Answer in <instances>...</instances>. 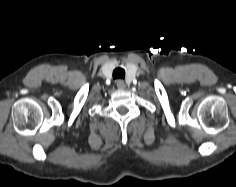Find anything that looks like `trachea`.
Here are the masks:
<instances>
[{"instance_id": "obj_1", "label": "trachea", "mask_w": 236, "mask_h": 187, "mask_svg": "<svg viewBox=\"0 0 236 187\" xmlns=\"http://www.w3.org/2000/svg\"><path fill=\"white\" fill-rule=\"evenodd\" d=\"M114 79H124L125 78V70L123 68H115L113 71Z\"/></svg>"}]
</instances>
